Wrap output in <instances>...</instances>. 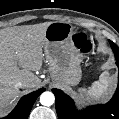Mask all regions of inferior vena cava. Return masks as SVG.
I'll return each instance as SVG.
<instances>
[{"mask_svg": "<svg viewBox=\"0 0 119 119\" xmlns=\"http://www.w3.org/2000/svg\"><path fill=\"white\" fill-rule=\"evenodd\" d=\"M27 82H28V79L22 78V79L17 80V81L14 83V86H15L16 88H22V87H25V86L27 85Z\"/></svg>", "mask_w": 119, "mask_h": 119, "instance_id": "obj_1", "label": "inferior vena cava"}]
</instances>
